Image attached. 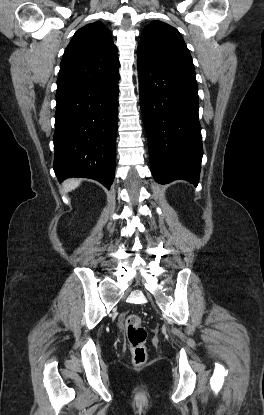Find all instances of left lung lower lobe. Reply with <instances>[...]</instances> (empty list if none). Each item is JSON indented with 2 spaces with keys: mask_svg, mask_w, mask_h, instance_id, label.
I'll use <instances>...</instances> for the list:
<instances>
[{
  "mask_svg": "<svg viewBox=\"0 0 264 415\" xmlns=\"http://www.w3.org/2000/svg\"><path fill=\"white\" fill-rule=\"evenodd\" d=\"M140 105L156 182L184 179L197 185L203 148L195 76L137 61Z\"/></svg>",
  "mask_w": 264,
  "mask_h": 415,
  "instance_id": "0a47b994",
  "label": "left lung lower lobe"
}]
</instances>
